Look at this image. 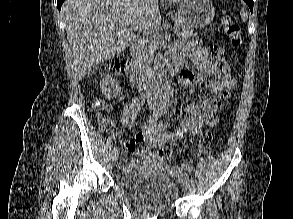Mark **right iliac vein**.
<instances>
[{"mask_svg":"<svg viewBox=\"0 0 293 219\" xmlns=\"http://www.w3.org/2000/svg\"><path fill=\"white\" fill-rule=\"evenodd\" d=\"M158 105H159V103H157V102H151V103L149 104V108H150V109H153V108H155V107L158 106ZM118 158H119V152H118V151L113 152V153H112V156H111L112 164H116V162L118 161Z\"/></svg>","mask_w":293,"mask_h":219,"instance_id":"right-iliac-vein-1","label":"right iliac vein"}]
</instances>
